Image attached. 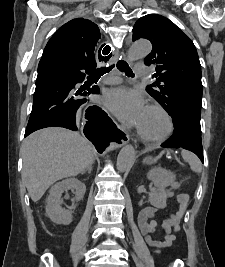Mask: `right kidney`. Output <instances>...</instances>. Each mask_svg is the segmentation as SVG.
I'll list each match as a JSON object with an SVG mask.
<instances>
[{
	"label": "right kidney",
	"instance_id": "obj_1",
	"mask_svg": "<svg viewBox=\"0 0 225 267\" xmlns=\"http://www.w3.org/2000/svg\"><path fill=\"white\" fill-rule=\"evenodd\" d=\"M68 190L75 191L76 201L83 199L86 186L80 180L76 178H68L53 185L49 191L47 198L46 213L51 221L57 224L68 225L72 221V208L65 210L62 205V193Z\"/></svg>",
	"mask_w": 225,
	"mask_h": 267
}]
</instances>
